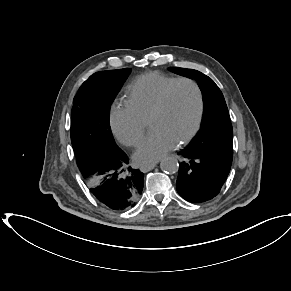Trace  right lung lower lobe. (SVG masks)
Segmentation results:
<instances>
[{"instance_id":"obj_1","label":"right lung lower lobe","mask_w":291,"mask_h":291,"mask_svg":"<svg viewBox=\"0 0 291 291\" xmlns=\"http://www.w3.org/2000/svg\"><path fill=\"white\" fill-rule=\"evenodd\" d=\"M127 155L104 158L87 168H80L83 178L95 198L106 207L123 211L133 207L139 200L144 174L132 169Z\"/></svg>"}]
</instances>
